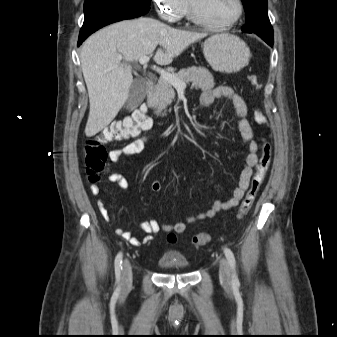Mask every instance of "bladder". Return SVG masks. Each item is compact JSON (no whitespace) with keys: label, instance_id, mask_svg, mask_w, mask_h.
<instances>
[{"label":"bladder","instance_id":"1","mask_svg":"<svg viewBox=\"0 0 337 337\" xmlns=\"http://www.w3.org/2000/svg\"><path fill=\"white\" fill-rule=\"evenodd\" d=\"M160 268L165 271H185L188 268V262L185 257L173 254L165 253L158 262Z\"/></svg>","mask_w":337,"mask_h":337}]
</instances>
